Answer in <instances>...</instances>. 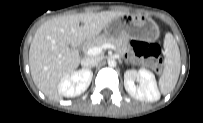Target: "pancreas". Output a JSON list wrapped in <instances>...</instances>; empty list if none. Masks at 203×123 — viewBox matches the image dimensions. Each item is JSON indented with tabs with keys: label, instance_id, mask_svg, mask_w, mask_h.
Instances as JSON below:
<instances>
[{
	"label": "pancreas",
	"instance_id": "cf45deb5",
	"mask_svg": "<svg viewBox=\"0 0 203 123\" xmlns=\"http://www.w3.org/2000/svg\"><path fill=\"white\" fill-rule=\"evenodd\" d=\"M104 43H110L114 45L118 51H125L127 39L124 36L113 37L103 34L95 38L92 45L101 46Z\"/></svg>",
	"mask_w": 203,
	"mask_h": 123
}]
</instances>
